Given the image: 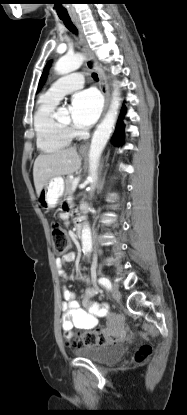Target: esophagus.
<instances>
[{
  "label": "esophagus",
  "instance_id": "34e87169",
  "mask_svg": "<svg viewBox=\"0 0 187 415\" xmlns=\"http://www.w3.org/2000/svg\"><path fill=\"white\" fill-rule=\"evenodd\" d=\"M73 22H74V24L76 25V27L79 31V37H80V42L82 44V50H83V53H84V56H85L86 67L88 69L96 70L98 75H99L100 88H101V91H102V93L105 97V105H104V110H103V115H104L105 111L107 109L108 103H109V87H108L107 79H106V76H105L104 72L100 69V67L98 66L96 60L94 59L93 53H92L91 49L89 48V45L86 41L83 29H82V25H81L79 19H74ZM87 148H88V143L82 145L80 147V150L85 151V150H87Z\"/></svg>",
  "mask_w": 187,
  "mask_h": 415
}]
</instances>
